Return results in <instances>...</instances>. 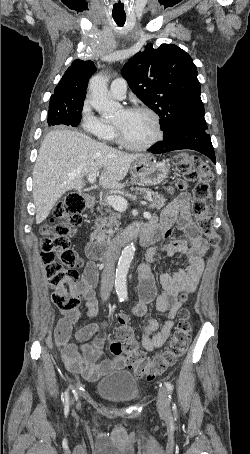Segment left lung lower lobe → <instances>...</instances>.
Segmentation results:
<instances>
[{
  "instance_id": "obj_1",
  "label": "left lung lower lobe",
  "mask_w": 250,
  "mask_h": 454,
  "mask_svg": "<svg viewBox=\"0 0 250 454\" xmlns=\"http://www.w3.org/2000/svg\"><path fill=\"white\" fill-rule=\"evenodd\" d=\"M205 119H198L182 124L162 142L154 144L149 151L154 154L173 150L192 149L208 156L214 163L215 153Z\"/></svg>"
}]
</instances>
